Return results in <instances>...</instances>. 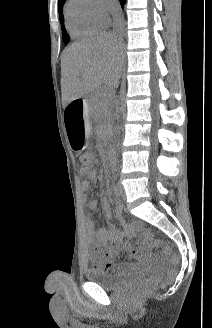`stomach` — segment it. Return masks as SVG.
<instances>
[{
  "mask_svg": "<svg viewBox=\"0 0 212 328\" xmlns=\"http://www.w3.org/2000/svg\"><path fill=\"white\" fill-rule=\"evenodd\" d=\"M87 121L84 102L72 101L65 106L63 124L67 128L69 145L73 146L74 149L86 148L87 136L84 128H87Z\"/></svg>",
  "mask_w": 212,
  "mask_h": 328,
  "instance_id": "obj_1",
  "label": "stomach"
}]
</instances>
